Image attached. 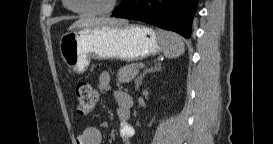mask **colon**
<instances>
[{
    "mask_svg": "<svg viewBox=\"0 0 273 144\" xmlns=\"http://www.w3.org/2000/svg\"><path fill=\"white\" fill-rule=\"evenodd\" d=\"M77 110L80 114L93 111L97 103V91L92 84L80 81L76 84Z\"/></svg>",
    "mask_w": 273,
    "mask_h": 144,
    "instance_id": "1",
    "label": "colon"
}]
</instances>
